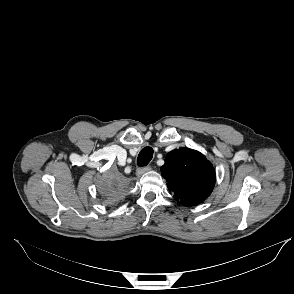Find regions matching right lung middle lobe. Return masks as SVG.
<instances>
[{
	"mask_svg": "<svg viewBox=\"0 0 294 294\" xmlns=\"http://www.w3.org/2000/svg\"><path fill=\"white\" fill-rule=\"evenodd\" d=\"M102 202L111 204L117 201L123 193V183L117 176L108 175L98 184Z\"/></svg>",
	"mask_w": 294,
	"mask_h": 294,
	"instance_id": "1",
	"label": "right lung middle lobe"
}]
</instances>
